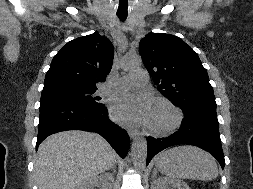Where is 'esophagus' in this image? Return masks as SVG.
<instances>
[{
    "instance_id": "34e87169",
    "label": "esophagus",
    "mask_w": 253,
    "mask_h": 189,
    "mask_svg": "<svg viewBox=\"0 0 253 189\" xmlns=\"http://www.w3.org/2000/svg\"><path fill=\"white\" fill-rule=\"evenodd\" d=\"M138 134L137 130L129 129L128 135L130 138H134Z\"/></svg>"
}]
</instances>
